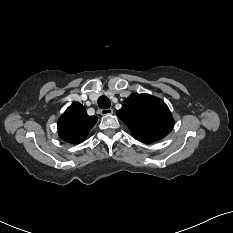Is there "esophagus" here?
<instances>
[{
	"mask_svg": "<svg viewBox=\"0 0 233 233\" xmlns=\"http://www.w3.org/2000/svg\"><path fill=\"white\" fill-rule=\"evenodd\" d=\"M101 115L106 116V115H111L113 114V109L112 108H108V109H102L100 111Z\"/></svg>",
	"mask_w": 233,
	"mask_h": 233,
	"instance_id": "esophagus-1",
	"label": "esophagus"
}]
</instances>
